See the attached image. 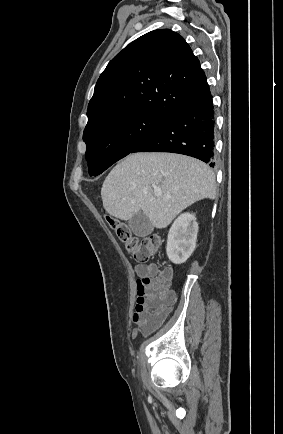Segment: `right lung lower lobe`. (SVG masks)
Here are the masks:
<instances>
[{
  "label": "right lung lower lobe",
  "instance_id": "98d812e1",
  "mask_svg": "<svg viewBox=\"0 0 283 434\" xmlns=\"http://www.w3.org/2000/svg\"><path fill=\"white\" fill-rule=\"evenodd\" d=\"M214 133V109L209 93L170 117L131 153H179L210 163L213 167Z\"/></svg>",
  "mask_w": 283,
  "mask_h": 434
}]
</instances>
